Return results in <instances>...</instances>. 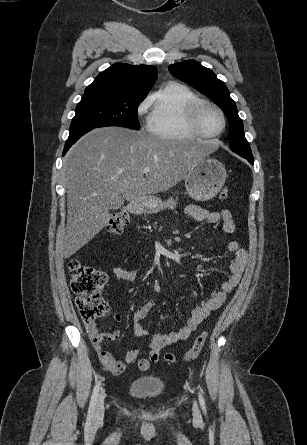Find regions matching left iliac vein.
<instances>
[{"label":"left iliac vein","mask_w":307,"mask_h":445,"mask_svg":"<svg viewBox=\"0 0 307 445\" xmlns=\"http://www.w3.org/2000/svg\"><path fill=\"white\" fill-rule=\"evenodd\" d=\"M193 416H194V418L197 419V420L200 419V417H201L196 402H194V405H193Z\"/></svg>","instance_id":"obj_1"}]
</instances>
